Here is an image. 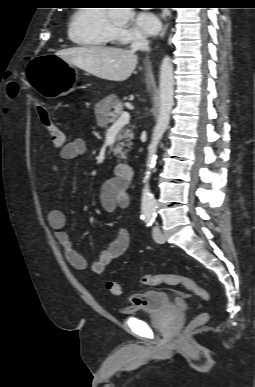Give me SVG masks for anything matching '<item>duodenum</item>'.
Masks as SVG:
<instances>
[{
  "label": "duodenum",
  "mask_w": 255,
  "mask_h": 387,
  "mask_svg": "<svg viewBox=\"0 0 255 387\" xmlns=\"http://www.w3.org/2000/svg\"><path fill=\"white\" fill-rule=\"evenodd\" d=\"M115 173L122 181L128 183L133 178L134 167L131 162L124 161L116 165Z\"/></svg>",
  "instance_id": "410a0bca"
}]
</instances>
